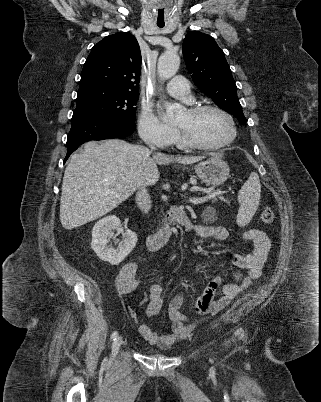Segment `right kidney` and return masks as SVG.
I'll use <instances>...</instances> for the list:
<instances>
[{
	"label": "right kidney",
	"instance_id": "ca27d5eb",
	"mask_svg": "<svg viewBox=\"0 0 321 402\" xmlns=\"http://www.w3.org/2000/svg\"><path fill=\"white\" fill-rule=\"evenodd\" d=\"M122 232L123 241L118 248L108 247L107 244L113 236V231ZM137 242V235L131 230L123 231L120 220L110 215L95 223L92 229L91 247L97 256L111 265H117L133 250Z\"/></svg>",
	"mask_w": 321,
	"mask_h": 402
}]
</instances>
